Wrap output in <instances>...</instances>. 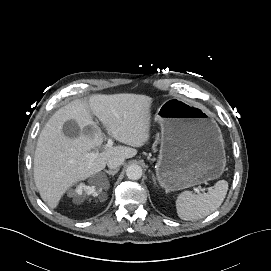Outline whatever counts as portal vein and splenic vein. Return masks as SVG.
<instances>
[{
  "label": "portal vein and splenic vein",
  "instance_id": "portal-vein-and-splenic-vein-1",
  "mask_svg": "<svg viewBox=\"0 0 271 271\" xmlns=\"http://www.w3.org/2000/svg\"><path fill=\"white\" fill-rule=\"evenodd\" d=\"M112 145H113V140L111 138H109L105 147L108 148V147H111ZM98 155H99L98 152H96V153L92 152V153H86L85 157L89 158L91 161H93L95 158L98 157ZM194 191L197 193H200L201 190L196 187V188H194Z\"/></svg>",
  "mask_w": 271,
  "mask_h": 271
}]
</instances>
